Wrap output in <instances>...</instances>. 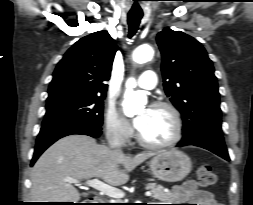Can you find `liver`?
Listing matches in <instances>:
<instances>
[{
  "label": "liver",
  "instance_id": "liver-1",
  "mask_svg": "<svg viewBox=\"0 0 253 205\" xmlns=\"http://www.w3.org/2000/svg\"><path fill=\"white\" fill-rule=\"evenodd\" d=\"M153 155L152 152L126 155L99 145L86 135L66 136L50 146L35 163L31 171V199L77 203L80 193L65 179L97 177L111 186H120L128 182L130 171Z\"/></svg>",
  "mask_w": 253,
  "mask_h": 205
}]
</instances>
